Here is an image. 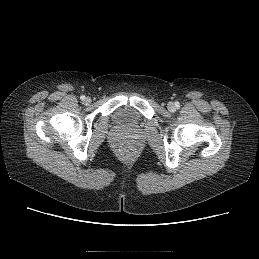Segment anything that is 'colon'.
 <instances>
[{
	"label": "colon",
	"instance_id": "5ec220e1",
	"mask_svg": "<svg viewBox=\"0 0 259 259\" xmlns=\"http://www.w3.org/2000/svg\"><path fill=\"white\" fill-rule=\"evenodd\" d=\"M137 153L136 147L130 142H124L119 147V155L126 160L132 159Z\"/></svg>",
	"mask_w": 259,
	"mask_h": 259
}]
</instances>
